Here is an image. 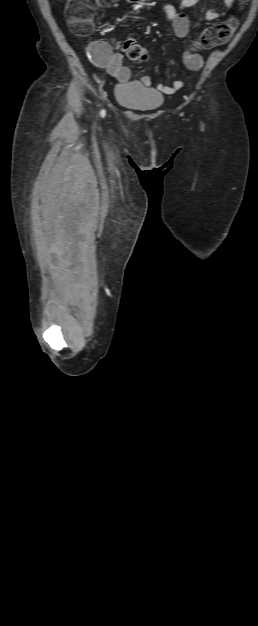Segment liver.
<instances>
[{"mask_svg":"<svg viewBox=\"0 0 258 626\" xmlns=\"http://www.w3.org/2000/svg\"><path fill=\"white\" fill-rule=\"evenodd\" d=\"M47 214H48V213H47V211H44V212H43L44 219H46Z\"/></svg>","mask_w":258,"mask_h":626,"instance_id":"obj_1","label":"liver"}]
</instances>
